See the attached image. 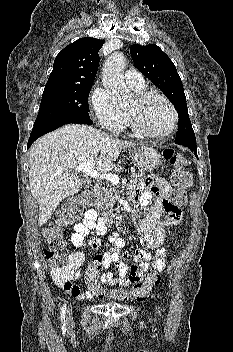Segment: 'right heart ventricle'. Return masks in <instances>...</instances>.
Listing matches in <instances>:
<instances>
[{
  "instance_id": "obj_1",
  "label": "right heart ventricle",
  "mask_w": 233,
  "mask_h": 352,
  "mask_svg": "<svg viewBox=\"0 0 233 352\" xmlns=\"http://www.w3.org/2000/svg\"><path fill=\"white\" fill-rule=\"evenodd\" d=\"M138 94H142L144 93V89L143 90H135ZM128 117H127V122H126V125L128 124Z\"/></svg>"
}]
</instances>
